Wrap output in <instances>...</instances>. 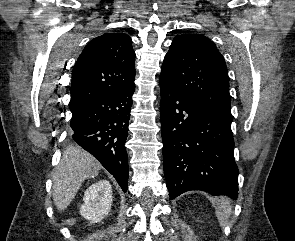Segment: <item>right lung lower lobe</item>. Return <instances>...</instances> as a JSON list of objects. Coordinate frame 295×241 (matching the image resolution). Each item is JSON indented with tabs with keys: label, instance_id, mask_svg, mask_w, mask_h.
Masks as SVG:
<instances>
[{
	"label": "right lung lower lobe",
	"instance_id": "1",
	"mask_svg": "<svg viewBox=\"0 0 295 241\" xmlns=\"http://www.w3.org/2000/svg\"><path fill=\"white\" fill-rule=\"evenodd\" d=\"M135 84L90 97L70 107L72 138L94 155L128 189V156L124 146Z\"/></svg>",
	"mask_w": 295,
	"mask_h": 241
}]
</instances>
